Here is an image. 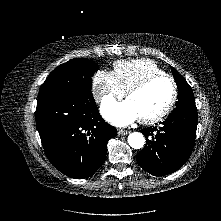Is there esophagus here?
I'll return each instance as SVG.
<instances>
[{
    "instance_id": "1",
    "label": "esophagus",
    "mask_w": 221,
    "mask_h": 221,
    "mask_svg": "<svg viewBox=\"0 0 221 221\" xmlns=\"http://www.w3.org/2000/svg\"><path fill=\"white\" fill-rule=\"evenodd\" d=\"M129 133V131L127 130H124V129H119L118 130V135L121 136V135H127Z\"/></svg>"
}]
</instances>
